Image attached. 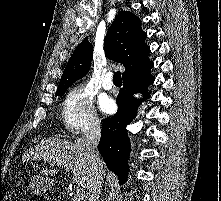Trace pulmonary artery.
I'll return each instance as SVG.
<instances>
[{"label":"pulmonary artery","instance_id":"e3ab8cb5","mask_svg":"<svg viewBox=\"0 0 221 201\" xmlns=\"http://www.w3.org/2000/svg\"><path fill=\"white\" fill-rule=\"evenodd\" d=\"M102 86L106 90H110L113 87V82H112V73H107L103 79Z\"/></svg>","mask_w":221,"mask_h":201}]
</instances>
